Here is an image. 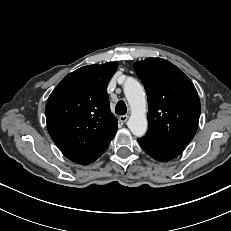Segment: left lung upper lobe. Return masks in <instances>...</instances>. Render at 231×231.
<instances>
[{"mask_svg":"<svg viewBox=\"0 0 231 231\" xmlns=\"http://www.w3.org/2000/svg\"><path fill=\"white\" fill-rule=\"evenodd\" d=\"M148 98L147 136L183 151L199 122L200 101L191 80L162 58L134 63Z\"/></svg>","mask_w":231,"mask_h":231,"instance_id":"obj_1","label":"left lung upper lobe"}]
</instances>
